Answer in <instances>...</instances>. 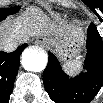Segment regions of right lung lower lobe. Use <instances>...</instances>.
<instances>
[{"instance_id":"right-lung-lower-lobe-1","label":"right lung lower lobe","mask_w":103,"mask_h":103,"mask_svg":"<svg viewBox=\"0 0 103 103\" xmlns=\"http://www.w3.org/2000/svg\"><path fill=\"white\" fill-rule=\"evenodd\" d=\"M27 44L21 45L11 53L0 51V98L7 100L13 89L15 77L19 69V60Z\"/></svg>"}]
</instances>
